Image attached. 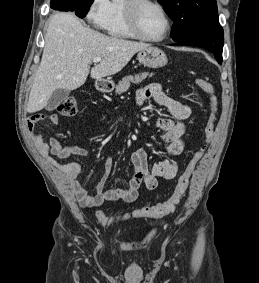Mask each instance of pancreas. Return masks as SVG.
I'll list each match as a JSON object with an SVG mask.
<instances>
[{"label": "pancreas", "mask_w": 259, "mask_h": 283, "mask_svg": "<svg viewBox=\"0 0 259 283\" xmlns=\"http://www.w3.org/2000/svg\"><path fill=\"white\" fill-rule=\"evenodd\" d=\"M152 77L153 74H149L148 72L140 73V74H135L134 76L129 75L124 77L121 81H119L118 85L116 86V94L120 95L124 92H126L131 83H141L146 77Z\"/></svg>", "instance_id": "obj_1"}]
</instances>
